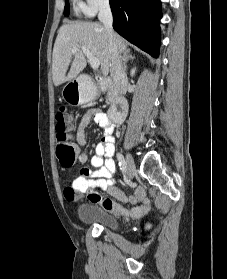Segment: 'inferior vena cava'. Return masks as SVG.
Returning <instances> with one entry per match:
<instances>
[{
  "label": "inferior vena cava",
  "mask_w": 227,
  "mask_h": 279,
  "mask_svg": "<svg viewBox=\"0 0 227 279\" xmlns=\"http://www.w3.org/2000/svg\"><path fill=\"white\" fill-rule=\"evenodd\" d=\"M98 19L103 23L108 35L109 50L111 54L110 75L119 93L126 94L128 80L122 64V57L120 56L114 41L113 17L108 0H104L100 5Z\"/></svg>",
  "instance_id": "602c4592"
}]
</instances>
